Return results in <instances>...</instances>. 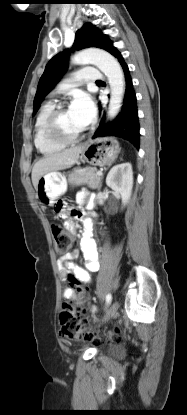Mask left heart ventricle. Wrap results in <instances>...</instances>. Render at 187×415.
<instances>
[{
  "instance_id": "left-heart-ventricle-1",
  "label": "left heart ventricle",
  "mask_w": 187,
  "mask_h": 415,
  "mask_svg": "<svg viewBox=\"0 0 187 415\" xmlns=\"http://www.w3.org/2000/svg\"><path fill=\"white\" fill-rule=\"evenodd\" d=\"M59 126L62 132L68 136H74L84 130L78 119L66 109L59 119Z\"/></svg>"
}]
</instances>
